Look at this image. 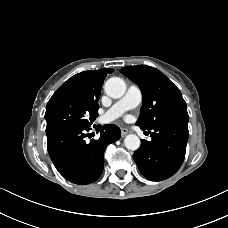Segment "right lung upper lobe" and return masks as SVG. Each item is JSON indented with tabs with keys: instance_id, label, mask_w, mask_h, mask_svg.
I'll return each mask as SVG.
<instances>
[{
	"instance_id": "cb5924a9",
	"label": "right lung upper lobe",
	"mask_w": 228,
	"mask_h": 228,
	"mask_svg": "<svg viewBox=\"0 0 228 228\" xmlns=\"http://www.w3.org/2000/svg\"><path fill=\"white\" fill-rule=\"evenodd\" d=\"M112 72L113 69L84 71L72 76L63 85L74 88L79 95L85 98L98 101L104 79L107 76V73Z\"/></svg>"
}]
</instances>
